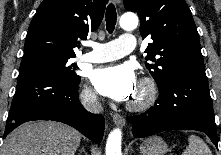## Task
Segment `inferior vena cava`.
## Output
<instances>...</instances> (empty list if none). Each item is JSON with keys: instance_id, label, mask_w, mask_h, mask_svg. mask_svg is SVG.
Returning a JSON list of instances; mask_svg holds the SVG:
<instances>
[{"instance_id": "inferior-vena-cava-1", "label": "inferior vena cava", "mask_w": 221, "mask_h": 155, "mask_svg": "<svg viewBox=\"0 0 221 155\" xmlns=\"http://www.w3.org/2000/svg\"><path fill=\"white\" fill-rule=\"evenodd\" d=\"M81 102L83 106L94 113H100L103 111L102 104L98 101L97 95L94 92L87 91L84 92L81 97Z\"/></svg>"}]
</instances>
